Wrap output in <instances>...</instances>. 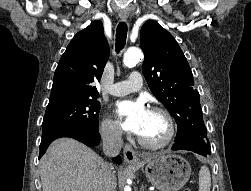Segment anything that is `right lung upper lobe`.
Here are the masks:
<instances>
[{"label":"right lung upper lobe","mask_w":251,"mask_h":191,"mask_svg":"<svg viewBox=\"0 0 251 191\" xmlns=\"http://www.w3.org/2000/svg\"><path fill=\"white\" fill-rule=\"evenodd\" d=\"M109 58V46L100 20L78 32L56 68L47 107L60 103L96 99L93 82L100 81Z\"/></svg>","instance_id":"cb5924a9"}]
</instances>
